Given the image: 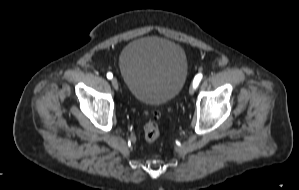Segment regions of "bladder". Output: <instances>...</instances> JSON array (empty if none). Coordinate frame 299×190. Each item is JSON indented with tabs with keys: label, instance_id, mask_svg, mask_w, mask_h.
Wrapping results in <instances>:
<instances>
[{
	"label": "bladder",
	"instance_id": "bladder-1",
	"mask_svg": "<svg viewBox=\"0 0 299 190\" xmlns=\"http://www.w3.org/2000/svg\"><path fill=\"white\" fill-rule=\"evenodd\" d=\"M119 69L138 101L159 105L171 101L183 88L188 60L184 49L173 41L141 37L124 47Z\"/></svg>",
	"mask_w": 299,
	"mask_h": 190
}]
</instances>
